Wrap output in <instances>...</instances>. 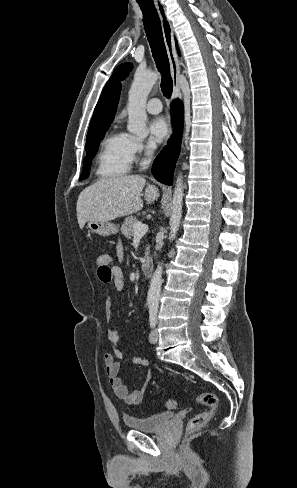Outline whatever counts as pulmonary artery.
<instances>
[{"instance_id": "pulmonary-artery-1", "label": "pulmonary artery", "mask_w": 297, "mask_h": 488, "mask_svg": "<svg viewBox=\"0 0 297 488\" xmlns=\"http://www.w3.org/2000/svg\"><path fill=\"white\" fill-rule=\"evenodd\" d=\"M146 110L150 114H158L162 111V104L158 98H151L146 104Z\"/></svg>"}]
</instances>
